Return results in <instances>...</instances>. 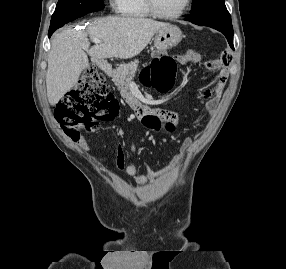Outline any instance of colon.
<instances>
[{"instance_id": "obj_1", "label": "colon", "mask_w": 286, "mask_h": 269, "mask_svg": "<svg viewBox=\"0 0 286 269\" xmlns=\"http://www.w3.org/2000/svg\"><path fill=\"white\" fill-rule=\"evenodd\" d=\"M153 60L144 73V83L165 92L174 84L176 62L166 49H153ZM119 110L118 102L94 66L84 72L78 87L57 104L55 117L65 133L77 140L80 128L95 129L101 122L113 120ZM161 116H146V126H159ZM169 126V121L163 123Z\"/></svg>"}]
</instances>
